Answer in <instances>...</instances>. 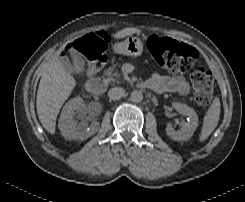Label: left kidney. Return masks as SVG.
<instances>
[{
  "instance_id": "obj_1",
  "label": "left kidney",
  "mask_w": 245,
  "mask_h": 202,
  "mask_svg": "<svg viewBox=\"0 0 245 202\" xmlns=\"http://www.w3.org/2000/svg\"><path fill=\"white\" fill-rule=\"evenodd\" d=\"M173 108L179 113L188 117L187 122L181 123V130L175 131L171 124L166 126V134L173 140L186 141L189 140L198 126V116L196 112L185 104L173 103Z\"/></svg>"
}]
</instances>
